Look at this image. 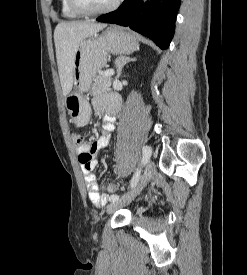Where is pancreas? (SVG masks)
<instances>
[{"instance_id":"1","label":"pancreas","mask_w":247,"mask_h":275,"mask_svg":"<svg viewBox=\"0 0 247 275\" xmlns=\"http://www.w3.org/2000/svg\"><path fill=\"white\" fill-rule=\"evenodd\" d=\"M112 79L110 77H105L103 73H99L94 79L90 94L97 95L103 92L111 90Z\"/></svg>"}]
</instances>
